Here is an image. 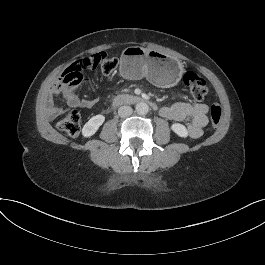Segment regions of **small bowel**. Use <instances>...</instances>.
<instances>
[{"mask_svg": "<svg viewBox=\"0 0 265 265\" xmlns=\"http://www.w3.org/2000/svg\"><path fill=\"white\" fill-rule=\"evenodd\" d=\"M55 97L63 96L70 108H91L96 104L94 99H79L75 93V88L67 89L56 85L53 88ZM208 105L205 103L190 104L186 102L175 103L160 109V115L172 121H182L190 118L187 130L192 138H199L203 135V129L207 124ZM62 113V109L51 107L49 116L55 118Z\"/></svg>", "mask_w": 265, "mask_h": 265, "instance_id": "c3829d8e", "label": "small bowel"}]
</instances>
